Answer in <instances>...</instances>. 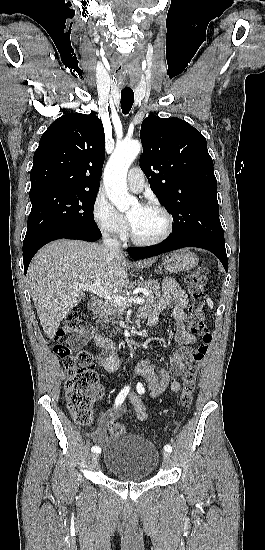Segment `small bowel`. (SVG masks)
<instances>
[{"instance_id":"1","label":"small bowel","mask_w":265,"mask_h":550,"mask_svg":"<svg viewBox=\"0 0 265 550\" xmlns=\"http://www.w3.org/2000/svg\"><path fill=\"white\" fill-rule=\"evenodd\" d=\"M186 305L185 292L174 280L166 279L163 283V295L152 306H144L138 312V316L146 319L150 327H155L162 311L170 307V316L175 323V337L178 342V347L170 355V369L157 366L151 359L141 360L136 365L135 376L144 384L150 397H157L168 387L173 392H178L181 388L180 381L172 379L171 374L177 377L183 375L185 363L193 352L191 345L195 342V336L187 330L184 323ZM89 341H93L97 347L102 349L97 361L106 371L114 372L119 369L122 358L116 352L113 342L97 333L93 327L87 328L84 332L68 340L75 349L82 348ZM130 401L134 406L136 418L139 421H146L148 413L140 397L132 392ZM124 411L123 406L114 405L112 409L102 414L98 420L97 428L92 434L93 441L102 443L106 436L107 426L118 419Z\"/></svg>"}]
</instances>
